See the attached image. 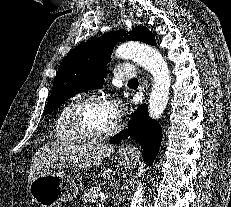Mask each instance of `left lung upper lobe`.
Wrapping results in <instances>:
<instances>
[{
    "label": "left lung upper lobe",
    "mask_w": 231,
    "mask_h": 207,
    "mask_svg": "<svg viewBox=\"0 0 231 207\" xmlns=\"http://www.w3.org/2000/svg\"><path fill=\"white\" fill-rule=\"evenodd\" d=\"M126 40L155 45L154 35L144 26L133 28L129 35L124 30L113 31L80 44L60 64L44 115L78 93L102 88L113 47Z\"/></svg>",
    "instance_id": "left-lung-upper-lobe-1"
}]
</instances>
